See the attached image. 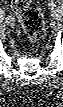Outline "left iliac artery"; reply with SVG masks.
<instances>
[{
	"label": "left iliac artery",
	"mask_w": 63,
	"mask_h": 107,
	"mask_svg": "<svg viewBox=\"0 0 63 107\" xmlns=\"http://www.w3.org/2000/svg\"><path fill=\"white\" fill-rule=\"evenodd\" d=\"M49 6L53 9L56 5L53 1H51V3H49Z\"/></svg>",
	"instance_id": "left-iliac-artery-1"
}]
</instances>
